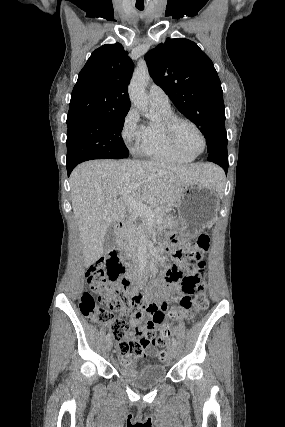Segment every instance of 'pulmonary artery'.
Instances as JSON below:
<instances>
[{
    "label": "pulmonary artery",
    "mask_w": 285,
    "mask_h": 427,
    "mask_svg": "<svg viewBox=\"0 0 285 427\" xmlns=\"http://www.w3.org/2000/svg\"><path fill=\"white\" fill-rule=\"evenodd\" d=\"M149 97L152 104L162 107L170 106L168 95L158 86H151L149 89Z\"/></svg>",
    "instance_id": "pulmonary-artery-1"
}]
</instances>
